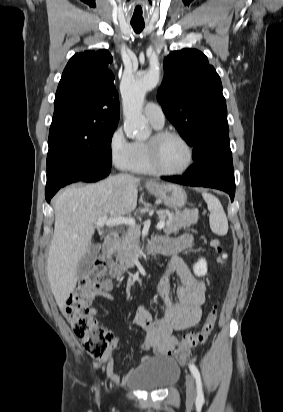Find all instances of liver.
Returning a JSON list of instances; mask_svg holds the SVG:
<instances>
[{
  "instance_id": "6515ba94",
  "label": "liver",
  "mask_w": 283,
  "mask_h": 412,
  "mask_svg": "<svg viewBox=\"0 0 283 412\" xmlns=\"http://www.w3.org/2000/svg\"><path fill=\"white\" fill-rule=\"evenodd\" d=\"M139 181L129 175L110 176L96 184L69 187L54 199L47 275L61 311L76 286L78 264L92 247L97 219L130 214L137 206Z\"/></svg>"
}]
</instances>
